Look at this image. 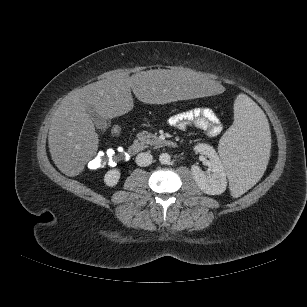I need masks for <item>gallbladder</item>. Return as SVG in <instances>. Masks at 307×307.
<instances>
[{
	"instance_id": "obj_1",
	"label": "gallbladder",
	"mask_w": 307,
	"mask_h": 307,
	"mask_svg": "<svg viewBox=\"0 0 307 307\" xmlns=\"http://www.w3.org/2000/svg\"><path fill=\"white\" fill-rule=\"evenodd\" d=\"M90 118L94 122L95 126L101 130H105L108 127L107 120L102 117L94 108L90 107L87 110Z\"/></svg>"
}]
</instances>
